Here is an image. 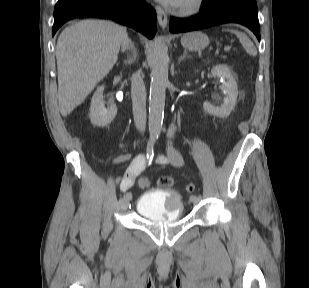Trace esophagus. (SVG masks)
<instances>
[{
    "label": "esophagus",
    "mask_w": 309,
    "mask_h": 288,
    "mask_svg": "<svg viewBox=\"0 0 309 288\" xmlns=\"http://www.w3.org/2000/svg\"><path fill=\"white\" fill-rule=\"evenodd\" d=\"M155 9H156V14H157L159 26L162 29H165L167 27V24H168L167 14L164 12V10L160 6H156Z\"/></svg>",
    "instance_id": "1"
}]
</instances>
